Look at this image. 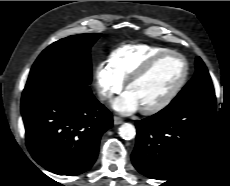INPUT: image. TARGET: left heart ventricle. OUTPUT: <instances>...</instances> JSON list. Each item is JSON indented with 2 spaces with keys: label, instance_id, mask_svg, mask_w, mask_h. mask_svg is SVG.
Listing matches in <instances>:
<instances>
[{
  "label": "left heart ventricle",
  "instance_id": "left-heart-ventricle-1",
  "mask_svg": "<svg viewBox=\"0 0 230 186\" xmlns=\"http://www.w3.org/2000/svg\"><path fill=\"white\" fill-rule=\"evenodd\" d=\"M183 72L184 63L180 58L165 57L147 75L130 85L127 91L135 97L140 108L149 107L169 93L179 82Z\"/></svg>",
  "mask_w": 230,
  "mask_h": 186
}]
</instances>
